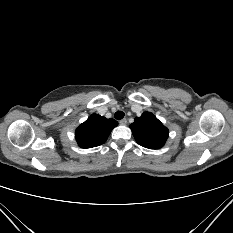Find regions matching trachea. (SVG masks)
Segmentation results:
<instances>
[{"mask_svg": "<svg viewBox=\"0 0 233 233\" xmlns=\"http://www.w3.org/2000/svg\"><path fill=\"white\" fill-rule=\"evenodd\" d=\"M124 112L123 111H117L115 114H114V117L115 119L117 120H121L123 117H124Z\"/></svg>", "mask_w": 233, "mask_h": 233, "instance_id": "trachea-1", "label": "trachea"}]
</instances>
